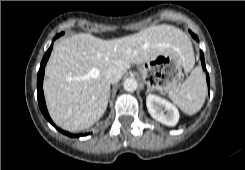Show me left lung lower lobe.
I'll return each instance as SVG.
<instances>
[{
    "label": "left lung lower lobe",
    "instance_id": "left-lung-lower-lobe-1",
    "mask_svg": "<svg viewBox=\"0 0 245 170\" xmlns=\"http://www.w3.org/2000/svg\"><path fill=\"white\" fill-rule=\"evenodd\" d=\"M190 33H191L192 37L198 41V37L195 34H193L191 31H190ZM200 55H201L202 67L206 71L205 61H204V54H203L202 51H200ZM206 76H207L208 88L210 89V83H209V75H208V73H207Z\"/></svg>",
    "mask_w": 245,
    "mask_h": 170
}]
</instances>
